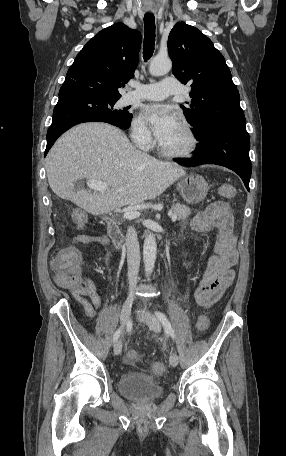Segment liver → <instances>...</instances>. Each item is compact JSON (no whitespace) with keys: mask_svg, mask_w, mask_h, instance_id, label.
I'll list each match as a JSON object with an SVG mask.
<instances>
[{"mask_svg":"<svg viewBox=\"0 0 286 456\" xmlns=\"http://www.w3.org/2000/svg\"><path fill=\"white\" fill-rule=\"evenodd\" d=\"M46 172L58 197L92 215L154 199L186 174L135 149L120 129L106 123H84L64 133L47 155ZM80 179L106 182L109 188L94 194L75 189Z\"/></svg>","mask_w":286,"mask_h":456,"instance_id":"6515ba94","label":"liver"}]
</instances>
